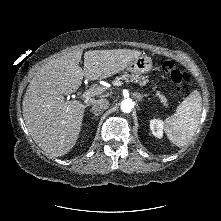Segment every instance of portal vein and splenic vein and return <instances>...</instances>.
<instances>
[{
  "label": "portal vein and splenic vein",
  "mask_w": 221,
  "mask_h": 221,
  "mask_svg": "<svg viewBox=\"0 0 221 221\" xmlns=\"http://www.w3.org/2000/svg\"><path fill=\"white\" fill-rule=\"evenodd\" d=\"M122 84H123L122 82H118V83H116L115 85H122ZM96 90H97V89H90V90L84 92V93L82 94L81 98L84 99V100H88V99L90 98V96L95 93ZM102 90H103V89H102Z\"/></svg>",
  "instance_id": "portal-vein-and-splenic-vein-1"
}]
</instances>
